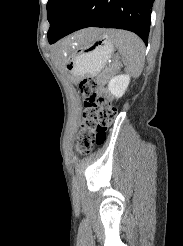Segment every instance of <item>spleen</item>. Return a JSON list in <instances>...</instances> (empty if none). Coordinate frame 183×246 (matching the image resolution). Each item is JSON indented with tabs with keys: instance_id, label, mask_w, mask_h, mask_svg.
Masks as SVG:
<instances>
[{
	"instance_id": "1",
	"label": "spleen",
	"mask_w": 183,
	"mask_h": 246,
	"mask_svg": "<svg viewBox=\"0 0 183 246\" xmlns=\"http://www.w3.org/2000/svg\"><path fill=\"white\" fill-rule=\"evenodd\" d=\"M109 37L123 57L126 71L138 77L143 69L145 45L134 33L124 30H110Z\"/></svg>"
}]
</instances>
